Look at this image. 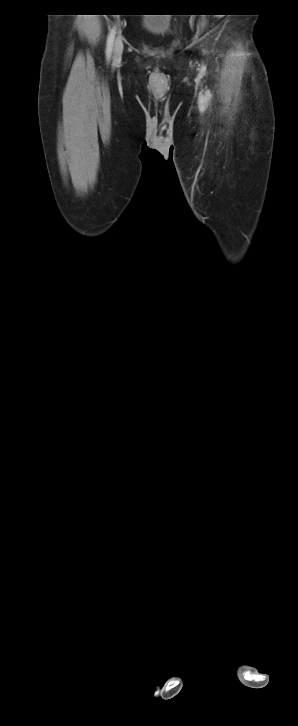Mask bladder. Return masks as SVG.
I'll use <instances>...</instances> for the list:
<instances>
[{
    "instance_id": "bladder-1",
    "label": "bladder",
    "mask_w": 298,
    "mask_h": 726,
    "mask_svg": "<svg viewBox=\"0 0 298 726\" xmlns=\"http://www.w3.org/2000/svg\"><path fill=\"white\" fill-rule=\"evenodd\" d=\"M171 19L166 16L147 17L142 22V28L152 34H165L171 26Z\"/></svg>"
}]
</instances>
